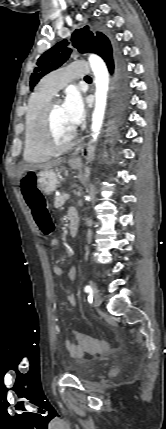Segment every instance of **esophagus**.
<instances>
[{
	"label": "esophagus",
	"mask_w": 166,
	"mask_h": 429,
	"mask_svg": "<svg viewBox=\"0 0 166 429\" xmlns=\"http://www.w3.org/2000/svg\"><path fill=\"white\" fill-rule=\"evenodd\" d=\"M73 158H76V156H75V155H73Z\"/></svg>",
	"instance_id": "34e87169"
}]
</instances>
